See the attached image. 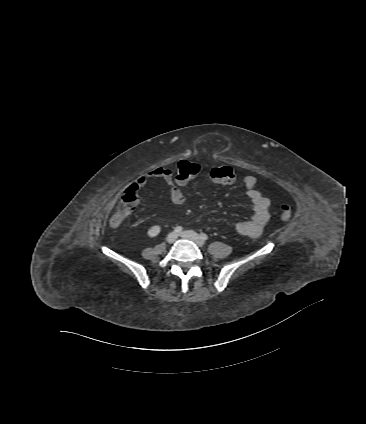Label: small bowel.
<instances>
[{
  "label": "small bowel",
  "mask_w": 366,
  "mask_h": 424,
  "mask_svg": "<svg viewBox=\"0 0 366 424\" xmlns=\"http://www.w3.org/2000/svg\"><path fill=\"white\" fill-rule=\"evenodd\" d=\"M225 171L233 170L229 166H221ZM148 179H163L170 190V197L173 203L181 205L185 201L183 192L177 187L173 173L167 168H157L149 172L148 174L141 176L136 181L137 187H142L146 184ZM218 182V181H216ZM179 183V182H178ZM222 183V182H218ZM183 184V183H180ZM227 184V183H224ZM257 179L254 176H246L243 179V185L246 189L247 196L253 206V216L251 220L237 223L234 227L235 232L243 237L256 238L258 237L265 225L269 220V206L270 201L267 197L263 196L258 190H256Z\"/></svg>",
  "instance_id": "obj_1"
}]
</instances>
